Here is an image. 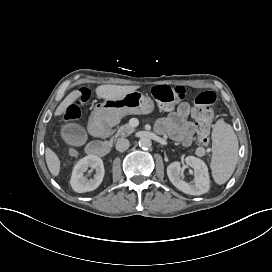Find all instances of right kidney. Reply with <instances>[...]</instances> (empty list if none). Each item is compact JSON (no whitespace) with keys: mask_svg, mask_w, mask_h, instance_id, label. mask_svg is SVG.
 Wrapping results in <instances>:
<instances>
[{"mask_svg":"<svg viewBox=\"0 0 272 272\" xmlns=\"http://www.w3.org/2000/svg\"><path fill=\"white\" fill-rule=\"evenodd\" d=\"M89 167L91 170H95L94 178L91 179L84 176ZM104 174L102 159L98 156L88 155L79 160L74 166L70 184L77 193L93 191L101 184Z\"/></svg>","mask_w":272,"mask_h":272,"instance_id":"ca27d5eb","label":"right kidney"}]
</instances>
